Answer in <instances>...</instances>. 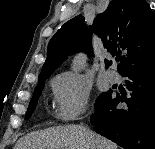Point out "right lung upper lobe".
I'll return each mask as SVG.
<instances>
[{"label":"right lung upper lobe","instance_id":"1","mask_svg":"<svg viewBox=\"0 0 155 149\" xmlns=\"http://www.w3.org/2000/svg\"><path fill=\"white\" fill-rule=\"evenodd\" d=\"M93 27L111 54L125 51L118 72L155 64V15L145 0H112L105 12L97 15ZM85 51L91 54V29L81 15L66 22L48 45L46 62L39 79L49 77L68 55ZM111 61L105 60V67Z\"/></svg>","mask_w":155,"mask_h":149}]
</instances>
